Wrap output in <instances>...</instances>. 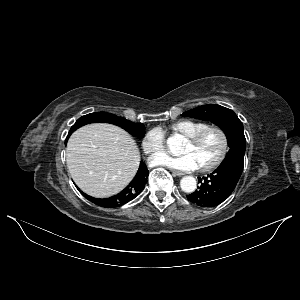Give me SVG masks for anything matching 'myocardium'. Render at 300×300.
Masks as SVG:
<instances>
[{
    "label": "myocardium",
    "mask_w": 300,
    "mask_h": 300,
    "mask_svg": "<svg viewBox=\"0 0 300 300\" xmlns=\"http://www.w3.org/2000/svg\"><path fill=\"white\" fill-rule=\"evenodd\" d=\"M210 130H216L220 133L221 138H222V148L216 159H214L209 164L198 167L199 170L202 172H209V171H212V170L216 169L217 167H219L222 164V162L225 160V158L229 152L228 134H227L226 130L218 124H207L200 130H198L196 133L186 137V141H188L191 144H196Z\"/></svg>",
    "instance_id": "f54148a6"
}]
</instances>
